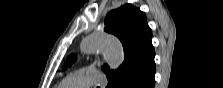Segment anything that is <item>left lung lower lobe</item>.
<instances>
[{"label": "left lung lower lobe", "instance_id": "left-lung-lower-lobe-1", "mask_svg": "<svg viewBox=\"0 0 223 88\" xmlns=\"http://www.w3.org/2000/svg\"><path fill=\"white\" fill-rule=\"evenodd\" d=\"M155 84V62L152 60L143 70L132 72L122 80L118 81L114 88H154ZM109 85L111 83L109 81Z\"/></svg>", "mask_w": 223, "mask_h": 88}]
</instances>
